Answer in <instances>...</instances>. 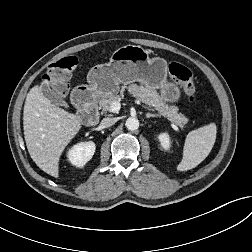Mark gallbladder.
Segmentation results:
<instances>
[{"label":"gallbladder","instance_id":"gallbladder-1","mask_svg":"<svg viewBox=\"0 0 252 252\" xmlns=\"http://www.w3.org/2000/svg\"><path fill=\"white\" fill-rule=\"evenodd\" d=\"M42 93L45 98H47L50 102L55 105L68 107V104L52 89L47 85H41Z\"/></svg>","mask_w":252,"mask_h":252}]
</instances>
